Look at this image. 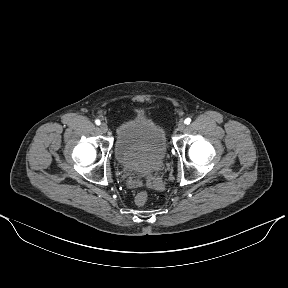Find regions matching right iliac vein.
I'll return each instance as SVG.
<instances>
[{
	"label": "right iliac vein",
	"instance_id": "63e3f726",
	"mask_svg": "<svg viewBox=\"0 0 288 288\" xmlns=\"http://www.w3.org/2000/svg\"><path fill=\"white\" fill-rule=\"evenodd\" d=\"M100 130L103 132V133H106L108 131V126L106 123H101L100 125Z\"/></svg>",
	"mask_w": 288,
	"mask_h": 288
}]
</instances>
